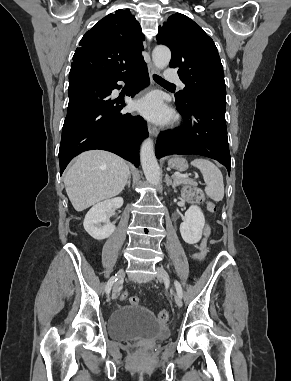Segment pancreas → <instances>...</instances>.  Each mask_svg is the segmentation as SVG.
Here are the masks:
<instances>
[{"mask_svg":"<svg viewBox=\"0 0 291 381\" xmlns=\"http://www.w3.org/2000/svg\"><path fill=\"white\" fill-rule=\"evenodd\" d=\"M174 183L176 185H191V186H196V182L188 179V178H183V177H174Z\"/></svg>","mask_w":291,"mask_h":381,"instance_id":"cf45deb5","label":"pancreas"}]
</instances>
